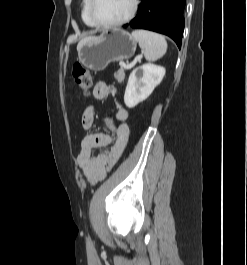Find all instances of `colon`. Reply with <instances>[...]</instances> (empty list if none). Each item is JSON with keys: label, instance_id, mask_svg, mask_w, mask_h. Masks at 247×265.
Returning <instances> with one entry per match:
<instances>
[{"label": "colon", "instance_id": "5ec220e1", "mask_svg": "<svg viewBox=\"0 0 247 265\" xmlns=\"http://www.w3.org/2000/svg\"><path fill=\"white\" fill-rule=\"evenodd\" d=\"M72 75L76 85L83 93H88L92 87V76L90 72L81 64L76 63L72 67ZM105 127L115 135L117 132V126L110 117L104 118Z\"/></svg>", "mask_w": 247, "mask_h": 265}]
</instances>
